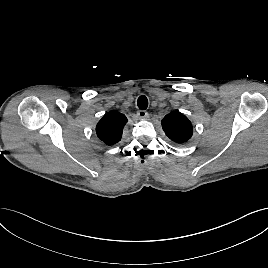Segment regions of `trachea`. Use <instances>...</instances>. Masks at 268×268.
<instances>
[{"instance_id":"obj_1","label":"trachea","mask_w":268,"mask_h":268,"mask_svg":"<svg viewBox=\"0 0 268 268\" xmlns=\"http://www.w3.org/2000/svg\"><path fill=\"white\" fill-rule=\"evenodd\" d=\"M137 106L141 110H145L148 107V99L146 96L141 95L137 100Z\"/></svg>"}]
</instances>
